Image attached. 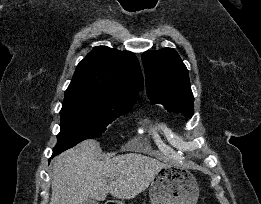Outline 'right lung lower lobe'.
<instances>
[{"label":"right lung lower lobe","mask_w":261,"mask_h":204,"mask_svg":"<svg viewBox=\"0 0 261 204\" xmlns=\"http://www.w3.org/2000/svg\"><path fill=\"white\" fill-rule=\"evenodd\" d=\"M59 154L57 151H53V156Z\"/></svg>","instance_id":"right-lung-lower-lobe-1"}]
</instances>
